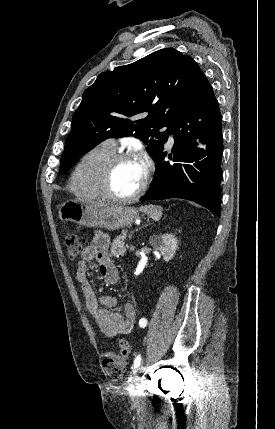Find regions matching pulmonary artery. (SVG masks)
<instances>
[{
  "label": "pulmonary artery",
  "mask_w": 275,
  "mask_h": 429,
  "mask_svg": "<svg viewBox=\"0 0 275 429\" xmlns=\"http://www.w3.org/2000/svg\"><path fill=\"white\" fill-rule=\"evenodd\" d=\"M173 142H174L173 136L170 135L169 141H168L169 145H172ZM104 144L113 150L116 149V141L114 139H108L104 142Z\"/></svg>",
  "instance_id": "pulmonary-artery-1"
}]
</instances>
